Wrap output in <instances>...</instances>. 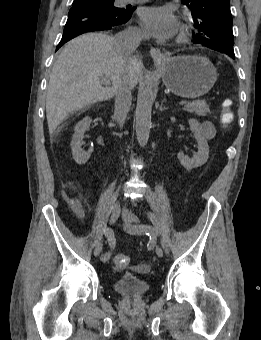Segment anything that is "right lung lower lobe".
<instances>
[{
	"label": "right lung lower lobe",
	"instance_id": "right-lung-lower-lobe-1",
	"mask_svg": "<svg viewBox=\"0 0 261 340\" xmlns=\"http://www.w3.org/2000/svg\"><path fill=\"white\" fill-rule=\"evenodd\" d=\"M124 11L125 13L119 14L107 12L99 6L90 4L72 5L57 48L82 33L110 30L113 26L126 23L131 18L134 9H124Z\"/></svg>",
	"mask_w": 261,
	"mask_h": 340
}]
</instances>
